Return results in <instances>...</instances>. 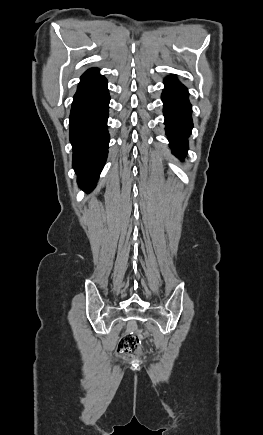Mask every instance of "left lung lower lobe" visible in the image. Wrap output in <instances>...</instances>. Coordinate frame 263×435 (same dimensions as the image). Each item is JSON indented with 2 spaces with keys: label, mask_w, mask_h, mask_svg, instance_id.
I'll return each mask as SVG.
<instances>
[{
  "label": "left lung lower lobe",
  "mask_w": 263,
  "mask_h": 435,
  "mask_svg": "<svg viewBox=\"0 0 263 435\" xmlns=\"http://www.w3.org/2000/svg\"><path fill=\"white\" fill-rule=\"evenodd\" d=\"M165 88L162 93L166 133L172 152L179 158L186 155L188 149L187 137L193 127L192 107L188 100V91L175 77L164 80Z\"/></svg>",
  "instance_id": "1"
}]
</instances>
